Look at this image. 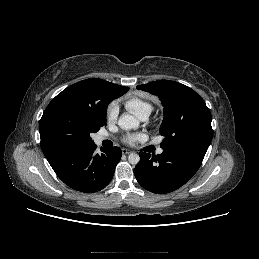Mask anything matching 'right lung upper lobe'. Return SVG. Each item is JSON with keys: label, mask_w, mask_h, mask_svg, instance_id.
Masks as SVG:
<instances>
[{"label": "right lung upper lobe", "mask_w": 259, "mask_h": 259, "mask_svg": "<svg viewBox=\"0 0 259 259\" xmlns=\"http://www.w3.org/2000/svg\"><path fill=\"white\" fill-rule=\"evenodd\" d=\"M128 90V87L119 86L99 78H90L77 82L63 90L50 102L44 111L40 123L42 125L48 110L59 100L72 102L76 106L94 113L99 118H104L106 117L108 104L113 99L126 93ZM42 151L46 158H49L54 153L53 151Z\"/></svg>", "instance_id": "1"}]
</instances>
